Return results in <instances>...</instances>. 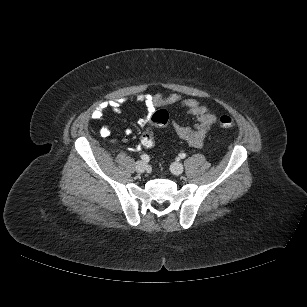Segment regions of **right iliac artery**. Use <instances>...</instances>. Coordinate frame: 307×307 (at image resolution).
<instances>
[{
    "label": "right iliac artery",
    "mask_w": 307,
    "mask_h": 307,
    "mask_svg": "<svg viewBox=\"0 0 307 307\" xmlns=\"http://www.w3.org/2000/svg\"><path fill=\"white\" fill-rule=\"evenodd\" d=\"M141 159L144 161V162H148L150 160L149 156L147 154H143L141 155Z\"/></svg>",
    "instance_id": "1"
}]
</instances>
